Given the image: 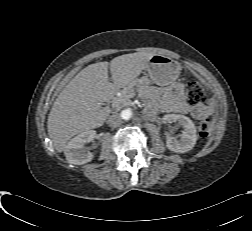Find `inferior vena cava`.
<instances>
[{
    "label": "inferior vena cava",
    "mask_w": 252,
    "mask_h": 231,
    "mask_svg": "<svg viewBox=\"0 0 252 231\" xmlns=\"http://www.w3.org/2000/svg\"><path fill=\"white\" fill-rule=\"evenodd\" d=\"M121 123H122V118L117 113L109 116V118L107 120V124L113 128L120 126Z\"/></svg>",
    "instance_id": "602c4592"
}]
</instances>
